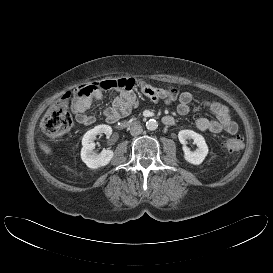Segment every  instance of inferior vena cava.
<instances>
[{"label": "inferior vena cava", "mask_w": 273, "mask_h": 273, "mask_svg": "<svg viewBox=\"0 0 273 273\" xmlns=\"http://www.w3.org/2000/svg\"><path fill=\"white\" fill-rule=\"evenodd\" d=\"M143 131L142 126L140 124H134L130 128V134L132 136H138Z\"/></svg>", "instance_id": "obj_1"}]
</instances>
